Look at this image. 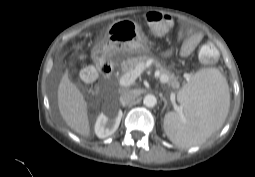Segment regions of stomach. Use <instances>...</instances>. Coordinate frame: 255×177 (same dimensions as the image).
<instances>
[{
    "label": "stomach",
    "instance_id": "stomach-1",
    "mask_svg": "<svg viewBox=\"0 0 255 177\" xmlns=\"http://www.w3.org/2000/svg\"><path fill=\"white\" fill-rule=\"evenodd\" d=\"M95 50L101 60L128 55H144L151 51V44L142 28L135 21L120 19L113 22Z\"/></svg>",
    "mask_w": 255,
    "mask_h": 177
}]
</instances>
